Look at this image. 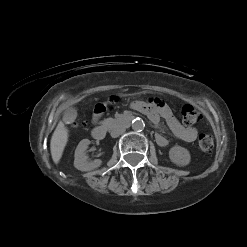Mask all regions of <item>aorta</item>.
Instances as JSON below:
<instances>
[{
	"mask_svg": "<svg viewBox=\"0 0 247 247\" xmlns=\"http://www.w3.org/2000/svg\"><path fill=\"white\" fill-rule=\"evenodd\" d=\"M145 127V123L141 118H135L132 121V129L135 131H142Z\"/></svg>",
	"mask_w": 247,
	"mask_h": 247,
	"instance_id": "aorta-1",
	"label": "aorta"
}]
</instances>
